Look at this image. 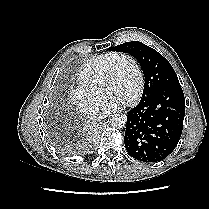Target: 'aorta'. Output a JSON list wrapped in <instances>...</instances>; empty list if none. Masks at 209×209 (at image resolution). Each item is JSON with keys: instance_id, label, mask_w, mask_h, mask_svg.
<instances>
[{"instance_id": "aorta-1", "label": "aorta", "mask_w": 209, "mask_h": 209, "mask_svg": "<svg viewBox=\"0 0 209 209\" xmlns=\"http://www.w3.org/2000/svg\"><path fill=\"white\" fill-rule=\"evenodd\" d=\"M110 124L116 128H123L126 124V117L122 114H115L110 119Z\"/></svg>"}]
</instances>
